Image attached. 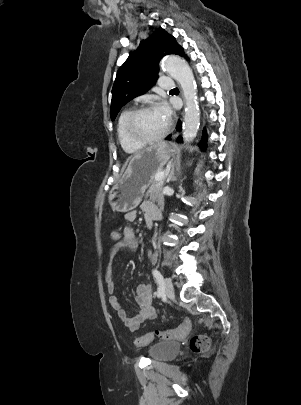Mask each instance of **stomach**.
Here are the masks:
<instances>
[{
    "label": "stomach",
    "mask_w": 301,
    "mask_h": 405,
    "mask_svg": "<svg viewBox=\"0 0 301 405\" xmlns=\"http://www.w3.org/2000/svg\"><path fill=\"white\" fill-rule=\"evenodd\" d=\"M176 152V147L167 142H159L133 156L126 171L109 194L113 210L128 212L141 202L145 190L154 182L160 171Z\"/></svg>",
    "instance_id": "stomach-1"
}]
</instances>
